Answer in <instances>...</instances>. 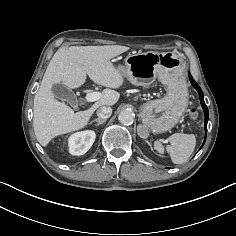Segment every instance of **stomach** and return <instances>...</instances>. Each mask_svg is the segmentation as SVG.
Masks as SVG:
<instances>
[{
	"mask_svg": "<svg viewBox=\"0 0 236 236\" xmlns=\"http://www.w3.org/2000/svg\"><path fill=\"white\" fill-rule=\"evenodd\" d=\"M118 70L132 84L149 86L156 78L167 86L164 98L144 103L140 108L143 126L153 133H163L182 117L188 105V91L181 60L174 54L132 52Z\"/></svg>",
	"mask_w": 236,
	"mask_h": 236,
	"instance_id": "obj_1",
	"label": "stomach"
}]
</instances>
